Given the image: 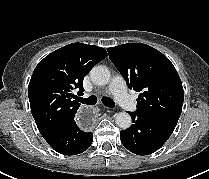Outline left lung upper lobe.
<instances>
[{
    "label": "left lung upper lobe",
    "instance_id": "obj_1",
    "mask_svg": "<svg viewBox=\"0 0 209 179\" xmlns=\"http://www.w3.org/2000/svg\"><path fill=\"white\" fill-rule=\"evenodd\" d=\"M107 51L129 88L142 92L137 98V111L178 121L184 91L176 69L164 54L142 43L123 44Z\"/></svg>",
    "mask_w": 209,
    "mask_h": 179
}]
</instances>
